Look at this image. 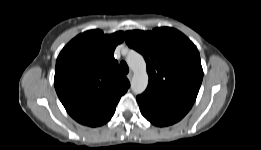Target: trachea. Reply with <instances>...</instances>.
I'll use <instances>...</instances> for the list:
<instances>
[{
    "label": "trachea",
    "instance_id": "1",
    "mask_svg": "<svg viewBox=\"0 0 261 150\" xmlns=\"http://www.w3.org/2000/svg\"><path fill=\"white\" fill-rule=\"evenodd\" d=\"M120 70L124 74H127L129 72V67L125 61L120 62Z\"/></svg>",
    "mask_w": 261,
    "mask_h": 150
}]
</instances>
